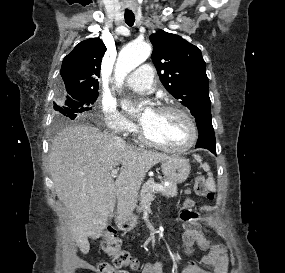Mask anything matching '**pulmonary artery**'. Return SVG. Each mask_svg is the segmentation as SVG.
Listing matches in <instances>:
<instances>
[{
  "label": "pulmonary artery",
  "mask_w": 285,
  "mask_h": 273,
  "mask_svg": "<svg viewBox=\"0 0 285 273\" xmlns=\"http://www.w3.org/2000/svg\"><path fill=\"white\" fill-rule=\"evenodd\" d=\"M153 68L143 64L133 71L127 78V85L136 91H147L153 87Z\"/></svg>",
  "instance_id": "e3ab8cb5"
}]
</instances>
